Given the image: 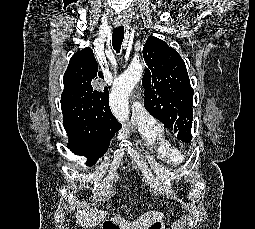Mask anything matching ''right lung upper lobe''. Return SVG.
Instances as JSON below:
<instances>
[{"label": "right lung upper lobe", "mask_w": 255, "mask_h": 229, "mask_svg": "<svg viewBox=\"0 0 255 229\" xmlns=\"http://www.w3.org/2000/svg\"><path fill=\"white\" fill-rule=\"evenodd\" d=\"M103 78L91 48L75 53L63 77V125L68 136L112 138L122 125L109 107L108 88L98 91L92 82Z\"/></svg>", "instance_id": "obj_1"}]
</instances>
